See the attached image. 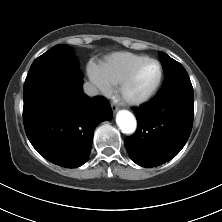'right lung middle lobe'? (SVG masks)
<instances>
[{
	"mask_svg": "<svg viewBox=\"0 0 222 222\" xmlns=\"http://www.w3.org/2000/svg\"><path fill=\"white\" fill-rule=\"evenodd\" d=\"M81 76L79 65L65 45H56L34 60L27 75L24 101L40 95L73 97Z\"/></svg>",
	"mask_w": 222,
	"mask_h": 222,
	"instance_id": "right-lung-middle-lobe-1",
	"label": "right lung middle lobe"
}]
</instances>
